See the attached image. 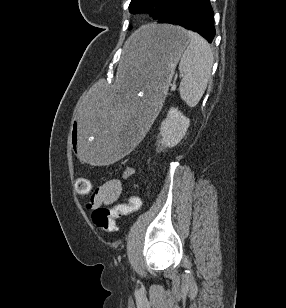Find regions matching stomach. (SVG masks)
I'll list each match as a JSON object with an SVG mask.
<instances>
[{
	"label": "stomach",
	"instance_id": "0dacf381",
	"mask_svg": "<svg viewBox=\"0 0 286 308\" xmlns=\"http://www.w3.org/2000/svg\"><path fill=\"white\" fill-rule=\"evenodd\" d=\"M189 42L182 27L149 24L123 44L117 81L98 86L89 100H81L72 125L75 159L88 168H105L143 144L142 132L153 125V107H161Z\"/></svg>",
	"mask_w": 286,
	"mask_h": 308
}]
</instances>
